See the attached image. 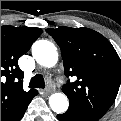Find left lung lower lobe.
Masks as SVG:
<instances>
[{"instance_id":"left-lung-lower-lobe-1","label":"left lung lower lobe","mask_w":121,"mask_h":121,"mask_svg":"<svg viewBox=\"0 0 121 121\" xmlns=\"http://www.w3.org/2000/svg\"><path fill=\"white\" fill-rule=\"evenodd\" d=\"M59 121H98V119L67 110L64 114L57 115Z\"/></svg>"}]
</instances>
